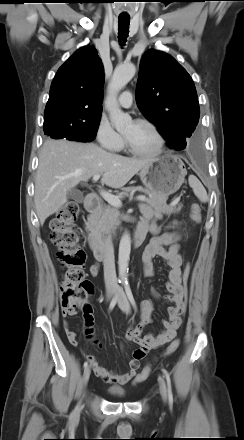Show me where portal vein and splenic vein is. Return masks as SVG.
Returning a JSON list of instances; mask_svg holds the SVG:
<instances>
[{
  "label": "portal vein and splenic vein",
  "instance_id": "portal-vein-and-splenic-vein-1",
  "mask_svg": "<svg viewBox=\"0 0 244 440\" xmlns=\"http://www.w3.org/2000/svg\"><path fill=\"white\" fill-rule=\"evenodd\" d=\"M100 177H101L100 174L94 175L93 176V181L99 180ZM100 195H101V197L105 201H107L113 207H115V208L122 207V202H121V200L117 196H115L113 194H110V193H108L106 191H100ZM136 200H138V201H147V198L145 196H143V195H140V196L136 197ZM176 201H179V199H176Z\"/></svg>",
  "mask_w": 244,
  "mask_h": 440
}]
</instances>
